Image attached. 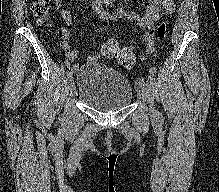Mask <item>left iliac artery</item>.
I'll return each mask as SVG.
<instances>
[{
	"label": "left iliac artery",
	"instance_id": "44dca946",
	"mask_svg": "<svg viewBox=\"0 0 219 192\" xmlns=\"http://www.w3.org/2000/svg\"><path fill=\"white\" fill-rule=\"evenodd\" d=\"M148 82L151 84V85H156V80L155 78L153 77V75H149L148 76ZM159 118H162V114L159 113Z\"/></svg>",
	"mask_w": 219,
	"mask_h": 192
}]
</instances>
